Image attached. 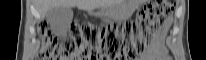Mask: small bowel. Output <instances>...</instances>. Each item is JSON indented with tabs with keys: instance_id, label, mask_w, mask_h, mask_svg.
Masks as SVG:
<instances>
[{
	"instance_id": "c3829d8e",
	"label": "small bowel",
	"mask_w": 206,
	"mask_h": 60,
	"mask_svg": "<svg viewBox=\"0 0 206 60\" xmlns=\"http://www.w3.org/2000/svg\"><path fill=\"white\" fill-rule=\"evenodd\" d=\"M168 29V24H164L158 28L154 39L152 41L151 50L149 53V57L154 60H167L168 55L166 49L163 45L164 37L166 35Z\"/></svg>"
}]
</instances>
